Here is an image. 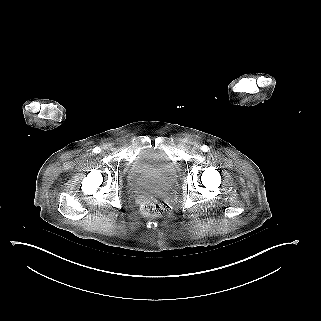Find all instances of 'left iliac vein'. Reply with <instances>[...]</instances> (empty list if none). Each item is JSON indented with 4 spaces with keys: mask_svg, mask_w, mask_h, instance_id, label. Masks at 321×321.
I'll return each mask as SVG.
<instances>
[{
    "mask_svg": "<svg viewBox=\"0 0 321 321\" xmlns=\"http://www.w3.org/2000/svg\"><path fill=\"white\" fill-rule=\"evenodd\" d=\"M199 150H200L199 147L194 148L195 153L199 152Z\"/></svg>",
    "mask_w": 321,
    "mask_h": 321,
    "instance_id": "1",
    "label": "left iliac vein"
}]
</instances>
